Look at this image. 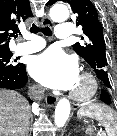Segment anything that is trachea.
I'll list each match as a JSON object with an SVG mask.
<instances>
[{
    "mask_svg": "<svg viewBox=\"0 0 117 136\" xmlns=\"http://www.w3.org/2000/svg\"><path fill=\"white\" fill-rule=\"evenodd\" d=\"M30 31H31V33H34V34L42 32L46 36H52V31L48 26L44 27V28H40L36 25H32V27L30 28Z\"/></svg>",
    "mask_w": 117,
    "mask_h": 136,
    "instance_id": "obj_1",
    "label": "trachea"
}]
</instances>
